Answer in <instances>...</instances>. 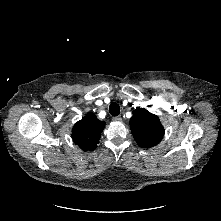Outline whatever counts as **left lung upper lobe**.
Segmentation results:
<instances>
[{
	"label": "left lung upper lobe",
	"mask_w": 221,
	"mask_h": 221,
	"mask_svg": "<svg viewBox=\"0 0 221 221\" xmlns=\"http://www.w3.org/2000/svg\"><path fill=\"white\" fill-rule=\"evenodd\" d=\"M130 127L135 141L144 148L157 145L164 135V127L159 118L140 107L133 111Z\"/></svg>",
	"instance_id": "1"
}]
</instances>
